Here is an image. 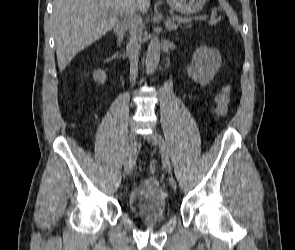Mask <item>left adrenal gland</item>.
<instances>
[{"label": "left adrenal gland", "instance_id": "a2214340", "mask_svg": "<svg viewBox=\"0 0 295 250\" xmlns=\"http://www.w3.org/2000/svg\"><path fill=\"white\" fill-rule=\"evenodd\" d=\"M179 26V23H174L171 21V19L168 18L166 22V28L168 31L176 30Z\"/></svg>", "mask_w": 295, "mask_h": 250}]
</instances>
